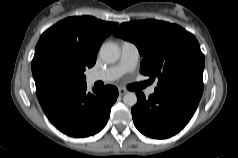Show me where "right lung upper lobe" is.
Instances as JSON below:
<instances>
[{"mask_svg": "<svg viewBox=\"0 0 238 158\" xmlns=\"http://www.w3.org/2000/svg\"><path fill=\"white\" fill-rule=\"evenodd\" d=\"M117 26L118 23L91 16L69 17L46 30L36 48L46 41H55L78 53L87 67H92L101 43Z\"/></svg>", "mask_w": 238, "mask_h": 158, "instance_id": "obj_1", "label": "right lung upper lobe"}]
</instances>
